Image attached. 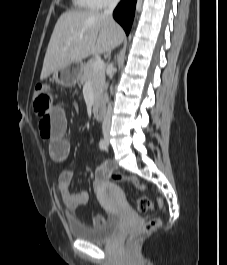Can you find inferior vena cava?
I'll return each instance as SVG.
<instances>
[{
  "instance_id": "obj_1",
  "label": "inferior vena cava",
  "mask_w": 227,
  "mask_h": 265,
  "mask_svg": "<svg viewBox=\"0 0 227 265\" xmlns=\"http://www.w3.org/2000/svg\"><path fill=\"white\" fill-rule=\"evenodd\" d=\"M119 1L120 0H108V6L104 10L103 15L112 19V13H113V11H114V9L117 6ZM110 67H112V65ZM111 110H112L111 103H109L106 115H105V117L103 119V123H102L103 132H108L110 130V127H111Z\"/></svg>"
}]
</instances>
